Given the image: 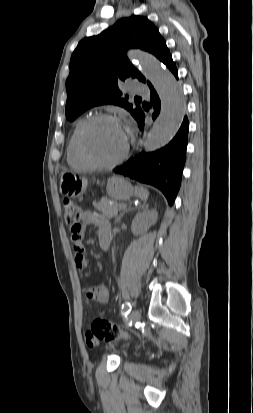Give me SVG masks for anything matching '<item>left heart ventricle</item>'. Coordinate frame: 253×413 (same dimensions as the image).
Listing matches in <instances>:
<instances>
[{"mask_svg": "<svg viewBox=\"0 0 253 413\" xmlns=\"http://www.w3.org/2000/svg\"><path fill=\"white\" fill-rule=\"evenodd\" d=\"M126 134L121 124L99 121L86 133L85 144L90 155L99 161H112L124 150Z\"/></svg>", "mask_w": 253, "mask_h": 413, "instance_id": "obj_1", "label": "left heart ventricle"}]
</instances>
